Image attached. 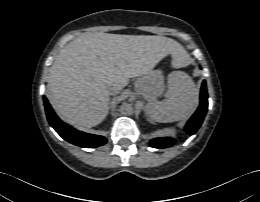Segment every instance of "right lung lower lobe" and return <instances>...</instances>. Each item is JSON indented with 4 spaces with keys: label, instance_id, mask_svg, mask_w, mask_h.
<instances>
[{
    "label": "right lung lower lobe",
    "instance_id": "1",
    "mask_svg": "<svg viewBox=\"0 0 260 202\" xmlns=\"http://www.w3.org/2000/svg\"><path fill=\"white\" fill-rule=\"evenodd\" d=\"M44 99V105L46 110L47 119L50 125L56 130V132L66 141L83 148H95L101 146L107 142V139L103 136L93 135L78 131L71 126L62 122L54 113L46 97Z\"/></svg>",
    "mask_w": 260,
    "mask_h": 202
}]
</instances>
